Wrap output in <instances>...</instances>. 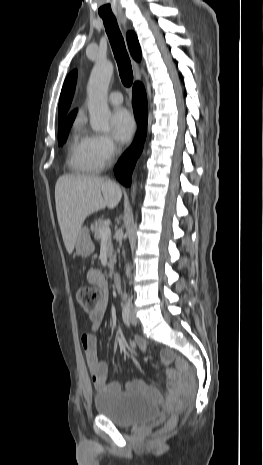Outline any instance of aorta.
Returning <instances> with one entry per match:
<instances>
[{
    "instance_id": "1",
    "label": "aorta",
    "mask_w": 263,
    "mask_h": 465,
    "mask_svg": "<svg viewBox=\"0 0 263 465\" xmlns=\"http://www.w3.org/2000/svg\"><path fill=\"white\" fill-rule=\"evenodd\" d=\"M113 64L110 61H98L94 65L88 86V109L90 113V125L94 131H109L110 111L107 104L108 86L113 74ZM136 185H133L132 201Z\"/></svg>"
}]
</instances>
